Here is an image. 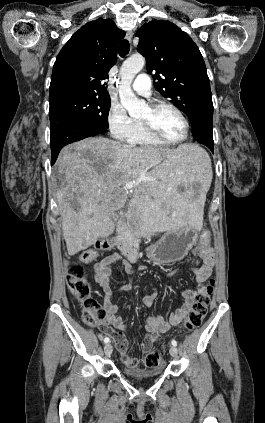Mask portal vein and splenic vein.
Returning <instances> with one entry per match:
<instances>
[{
	"instance_id": "1",
	"label": "portal vein and splenic vein",
	"mask_w": 265,
	"mask_h": 423,
	"mask_svg": "<svg viewBox=\"0 0 265 423\" xmlns=\"http://www.w3.org/2000/svg\"><path fill=\"white\" fill-rule=\"evenodd\" d=\"M136 185H137V182H135V181H130V182H127V183L125 184V188H126L127 190H131V189H133Z\"/></svg>"
}]
</instances>
